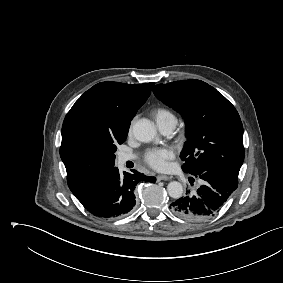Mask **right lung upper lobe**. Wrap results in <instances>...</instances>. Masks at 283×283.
<instances>
[{"mask_svg":"<svg viewBox=\"0 0 283 283\" xmlns=\"http://www.w3.org/2000/svg\"><path fill=\"white\" fill-rule=\"evenodd\" d=\"M154 83L101 82L86 91L67 113L60 156L73 194L100 180L114 168L109 143L127 134L137 110Z\"/></svg>","mask_w":283,"mask_h":283,"instance_id":"obj_1","label":"right lung upper lobe"}]
</instances>
